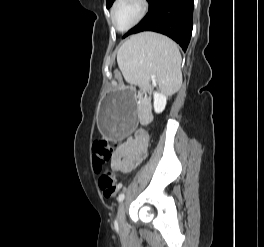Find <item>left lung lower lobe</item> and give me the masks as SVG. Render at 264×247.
Masks as SVG:
<instances>
[{
	"instance_id": "0a47b994",
	"label": "left lung lower lobe",
	"mask_w": 264,
	"mask_h": 247,
	"mask_svg": "<svg viewBox=\"0 0 264 247\" xmlns=\"http://www.w3.org/2000/svg\"><path fill=\"white\" fill-rule=\"evenodd\" d=\"M149 12L123 38L142 31H155L172 38L186 51L192 34L193 0H147Z\"/></svg>"
}]
</instances>
